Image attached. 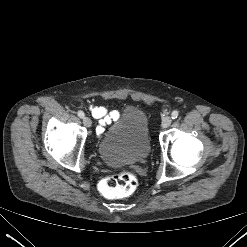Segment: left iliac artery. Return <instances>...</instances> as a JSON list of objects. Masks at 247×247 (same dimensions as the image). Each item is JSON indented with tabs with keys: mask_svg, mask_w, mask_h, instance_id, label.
Returning <instances> with one entry per match:
<instances>
[{
	"mask_svg": "<svg viewBox=\"0 0 247 247\" xmlns=\"http://www.w3.org/2000/svg\"><path fill=\"white\" fill-rule=\"evenodd\" d=\"M178 115H179L178 111H176V110L173 111L172 114H171L172 119H176L178 117Z\"/></svg>",
	"mask_w": 247,
	"mask_h": 247,
	"instance_id": "44dca946",
	"label": "left iliac artery"
}]
</instances>
